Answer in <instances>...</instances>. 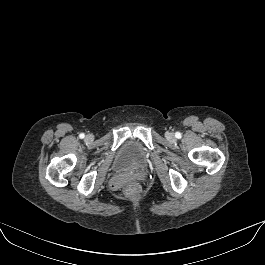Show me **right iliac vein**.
<instances>
[{"instance_id":"right-iliac-vein-1","label":"right iliac vein","mask_w":265,"mask_h":265,"mask_svg":"<svg viewBox=\"0 0 265 265\" xmlns=\"http://www.w3.org/2000/svg\"><path fill=\"white\" fill-rule=\"evenodd\" d=\"M85 140L90 142L93 140V136L91 134H88L86 137H85Z\"/></svg>"}]
</instances>
